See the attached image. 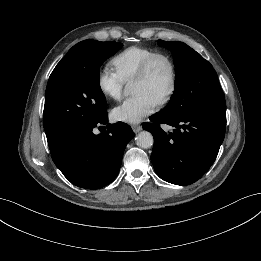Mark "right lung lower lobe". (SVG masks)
I'll return each mask as SVG.
<instances>
[{
    "instance_id": "right-lung-lower-lobe-1",
    "label": "right lung lower lobe",
    "mask_w": 261,
    "mask_h": 261,
    "mask_svg": "<svg viewBox=\"0 0 261 261\" xmlns=\"http://www.w3.org/2000/svg\"><path fill=\"white\" fill-rule=\"evenodd\" d=\"M108 115L87 127L76 128L49 144L52 159L64 176L74 185L99 189L117 176L126 145L134 137L123 122L107 124ZM107 124L104 134L95 135L96 126Z\"/></svg>"
}]
</instances>
